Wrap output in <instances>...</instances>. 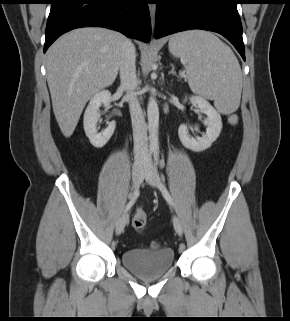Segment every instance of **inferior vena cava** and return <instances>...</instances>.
<instances>
[{
	"label": "inferior vena cava",
	"mask_w": 290,
	"mask_h": 321,
	"mask_svg": "<svg viewBox=\"0 0 290 321\" xmlns=\"http://www.w3.org/2000/svg\"><path fill=\"white\" fill-rule=\"evenodd\" d=\"M135 61V47L131 41L127 40L123 46L120 60L121 88L127 91V97L129 100L135 157L147 158V126L145 123L141 106L135 94V89L137 87Z\"/></svg>",
	"instance_id": "obj_1"
}]
</instances>
